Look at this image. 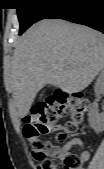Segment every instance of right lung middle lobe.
Wrapping results in <instances>:
<instances>
[{"instance_id":"right-lung-middle-lobe-1","label":"right lung middle lobe","mask_w":104,"mask_h":169,"mask_svg":"<svg viewBox=\"0 0 104 169\" xmlns=\"http://www.w3.org/2000/svg\"><path fill=\"white\" fill-rule=\"evenodd\" d=\"M21 35L33 23L47 18L60 6L71 0H15Z\"/></svg>"}]
</instances>
